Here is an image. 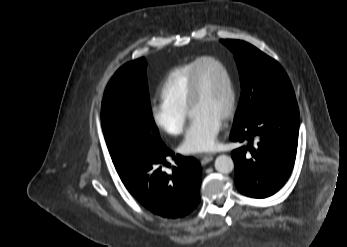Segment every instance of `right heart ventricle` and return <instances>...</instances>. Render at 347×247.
Here are the masks:
<instances>
[{
    "label": "right heart ventricle",
    "instance_id": "obj_1",
    "mask_svg": "<svg viewBox=\"0 0 347 247\" xmlns=\"http://www.w3.org/2000/svg\"><path fill=\"white\" fill-rule=\"evenodd\" d=\"M197 60L177 66L166 75L159 90L162 102L187 111L188 87Z\"/></svg>",
    "mask_w": 347,
    "mask_h": 247
}]
</instances>
